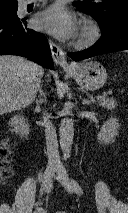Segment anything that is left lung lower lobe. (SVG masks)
<instances>
[{
	"label": "left lung lower lobe",
	"instance_id": "left-lung-lower-lobe-1",
	"mask_svg": "<svg viewBox=\"0 0 128 213\" xmlns=\"http://www.w3.org/2000/svg\"><path fill=\"white\" fill-rule=\"evenodd\" d=\"M102 37L94 46L76 53H67L73 60H83L95 55L128 49V16L101 29Z\"/></svg>",
	"mask_w": 128,
	"mask_h": 213
}]
</instances>
